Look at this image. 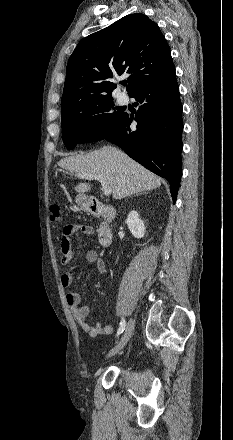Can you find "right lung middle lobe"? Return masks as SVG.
<instances>
[{"mask_svg": "<svg viewBox=\"0 0 233 440\" xmlns=\"http://www.w3.org/2000/svg\"><path fill=\"white\" fill-rule=\"evenodd\" d=\"M117 109L111 97L97 98L62 108V138L67 149L78 143L102 140L122 120L125 113Z\"/></svg>", "mask_w": 233, "mask_h": 440, "instance_id": "1", "label": "right lung middle lobe"}]
</instances>
